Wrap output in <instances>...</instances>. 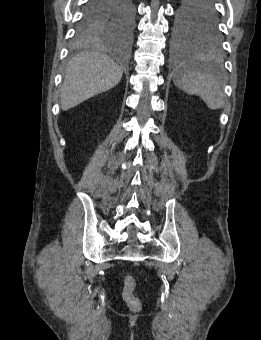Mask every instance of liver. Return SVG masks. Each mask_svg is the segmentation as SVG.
<instances>
[{
    "mask_svg": "<svg viewBox=\"0 0 261 340\" xmlns=\"http://www.w3.org/2000/svg\"><path fill=\"white\" fill-rule=\"evenodd\" d=\"M123 71L107 55L84 52L68 64L61 90V109L69 110L83 101L116 86Z\"/></svg>",
    "mask_w": 261,
    "mask_h": 340,
    "instance_id": "6515ba94",
    "label": "liver"
}]
</instances>
